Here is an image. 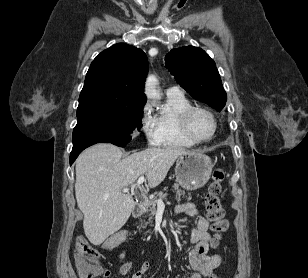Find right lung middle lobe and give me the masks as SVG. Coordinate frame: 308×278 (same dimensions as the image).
I'll return each mask as SVG.
<instances>
[{"mask_svg": "<svg viewBox=\"0 0 308 278\" xmlns=\"http://www.w3.org/2000/svg\"><path fill=\"white\" fill-rule=\"evenodd\" d=\"M142 116L143 106L77 116L73 146L99 142L126 145L131 140V135L140 131Z\"/></svg>", "mask_w": 308, "mask_h": 278, "instance_id": "1", "label": "right lung middle lobe"}]
</instances>
